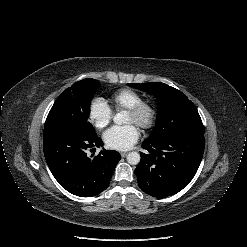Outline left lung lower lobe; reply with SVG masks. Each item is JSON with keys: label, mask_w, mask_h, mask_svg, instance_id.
Returning a JSON list of instances; mask_svg holds the SVG:
<instances>
[{"label": "left lung lower lobe", "mask_w": 247, "mask_h": 247, "mask_svg": "<svg viewBox=\"0 0 247 247\" xmlns=\"http://www.w3.org/2000/svg\"><path fill=\"white\" fill-rule=\"evenodd\" d=\"M147 150L135 169L139 187L153 197H168L186 187L201 163L205 138L174 135L160 141L147 140Z\"/></svg>", "instance_id": "left-lung-lower-lobe-1"}]
</instances>
